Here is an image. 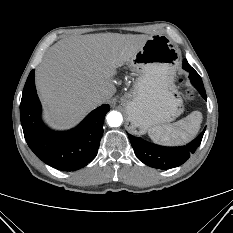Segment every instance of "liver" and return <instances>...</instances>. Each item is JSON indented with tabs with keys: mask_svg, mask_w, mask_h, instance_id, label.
Returning <instances> with one entry per match:
<instances>
[{
	"mask_svg": "<svg viewBox=\"0 0 233 233\" xmlns=\"http://www.w3.org/2000/svg\"><path fill=\"white\" fill-rule=\"evenodd\" d=\"M149 38L100 33L66 38L51 46L35 71L46 122L67 129L109 101L116 92L112 79L117 68L133 59ZM96 94L103 99L96 101Z\"/></svg>",
	"mask_w": 233,
	"mask_h": 233,
	"instance_id": "obj_1",
	"label": "liver"
}]
</instances>
